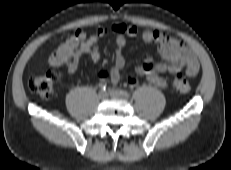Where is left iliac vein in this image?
Listing matches in <instances>:
<instances>
[{"label": "left iliac vein", "mask_w": 231, "mask_h": 170, "mask_svg": "<svg viewBox=\"0 0 231 170\" xmlns=\"http://www.w3.org/2000/svg\"><path fill=\"white\" fill-rule=\"evenodd\" d=\"M108 94H109L111 97H113V98H120V97H122L120 91L117 90V89H114V88L109 89Z\"/></svg>", "instance_id": "1"}]
</instances>
